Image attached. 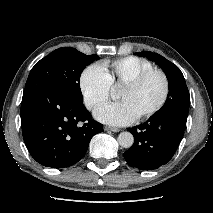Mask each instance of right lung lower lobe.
Instances as JSON below:
<instances>
[{
    "label": "right lung lower lobe",
    "mask_w": 213,
    "mask_h": 213,
    "mask_svg": "<svg viewBox=\"0 0 213 213\" xmlns=\"http://www.w3.org/2000/svg\"><path fill=\"white\" fill-rule=\"evenodd\" d=\"M21 125L31 156L51 168L77 163L84 157L91 138L103 131V125L92 119L83 104H76L45 84L25 87Z\"/></svg>",
    "instance_id": "1"
}]
</instances>
